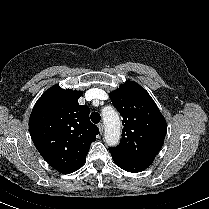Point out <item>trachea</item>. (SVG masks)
I'll list each match as a JSON object with an SVG mask.
<instances>
[{
  "label": "trachea",
  "mask_w": 209,
  "mask_h": 209,
  "mask_svg": "<svg viewBox=\"0 0 209 209\" xmlns=\"http://www.w3.org/2000/svg\"><path fill=\"white\" fill-rule=\"evenodd\" d=\"M90 118H91V121L94 123V124H97L100 122L101 120V116L99 113L97 112H92L91 115H90Z\"/></svg>",
  "instance_id": "3493384b"
}]
</instances>
